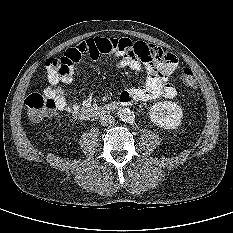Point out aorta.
<instances>
[{
    "label": "aorta",
    "mask_w": 233,
    "mask_h": 233,
    "mask_svg": "<svg viewBox=\"0 0 233 233\" xmlns=\"http://www.w3.org/2000/svg\"><path fill=\"white\" fill-rule=\"evenodd\" d=\"M118 116L123 122H126V123H132L135 119L134 113L127 108H123L119 110Z\"/></svg>",
    "instance_id": "obj_1"
}]
</instances>
